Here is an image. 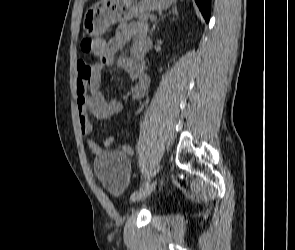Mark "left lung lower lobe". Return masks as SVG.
<instances>
[{
  "label": "left lung lower lobe",
  "instance_id": "obj_1",
  "mask_svg": "<svg viewBox=\"0 0 295 250\" xmlns=\"http://www.w3.org/2000/svg\"><path fill=\"white\" fill-rule=\"evenodd\" d=\"M205 20L208 22L210 18V3L211 0H195Z\"/></svg>",
  "mask_w": 295,
  "mask_h": 250
}]
</instances>
